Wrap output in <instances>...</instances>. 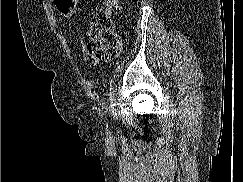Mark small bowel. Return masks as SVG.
<instances>
[{
    "mask_svg": "<svg viewBox=\"0 0 243 182\" xmlns=\"http://www.w3.org/2000/svg\"><path fill=\"white\" fill-rule=\"evenodd\" d=\"M86 56H87V51H86V49L84 48V57H85V59H86ZM96 62V61H95Z\"/></svg>",
    "mask_w": 243,
    "mask_h": 182,
    "instance_id": "obj_1",
    "label": "small bowel"
}]
</instances>
